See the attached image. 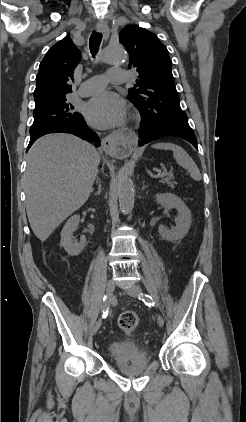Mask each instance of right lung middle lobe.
<instances>
[{"label":"right lung middle lobe","mask_w":246,"mask_h":422,"mask_svg":"<svg viewBox=\"0 0 246 422\" xmlns=\"http://www.w3.org/2000/svg\"><path fill=\"white\" fill-rule=\"evenodd\" d=\"M73 109L74 107L66 102V98L34 109V122L30 134L54 124L72 123L81 119L82 115Z\"/></svg>","instance_id":"dd1d6c3e"}]
</instances>
